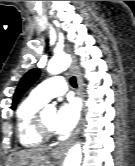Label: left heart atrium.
<instances>
[{"instance_id":"obj_1","label":"left heart atrium","mask_w":135,"mask_h":166,"mask_svg":"<svg viewBox=\"0 0 135 166\" xmlns=\"http://www.w3.org/2000/svg\"><path fill=\"white\" fill-rule=\"evenodd\" d=\"M79 119V104L75 99L64 102L55 115L52 129L59 135H68Z\"/></svg>"}]
</instances>
